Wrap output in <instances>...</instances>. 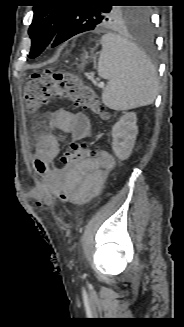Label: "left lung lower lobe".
I'll use <instances>...</instances> for the list:
<instances>
[{"mask_svg": "<svg viewBox=\"0 0 184 327\" xmlns=\"http://www.w3.org/2000/svg\"><path fill=\"white\" fill-rule=\"evenodd\" d=\"M78 34L76 31H67L66 29L61 28L58 31V34L52 44V47L59 45L60 43L68 40L74 35ZM134 38L137 43L138 49L143 54L153 55L156 51V45L153 34V26L149 16L139 23L134 28Z\"/></svg>", "mask_w": 184, "mask_h": 327, "instance_id": "left-lung-lower-lobe-1", "label": "left lung lower lobe"}]
</instances>
